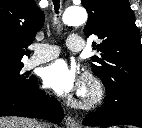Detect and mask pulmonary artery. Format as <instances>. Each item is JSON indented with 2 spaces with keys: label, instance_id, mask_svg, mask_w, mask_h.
I'll return each mask as SVG.
<instances>
[{
  "label": "pulmonary artery",
  "instance_id": "obj_1",
  "mask_svg": "<svg viewBox=\"0 0 142 128\" xmlns=\"http://www.w3.org/2000/svg\"><path fill=\"white\" fill-rule=\"evenodd\" d=\"M67 48L73 52H79L84 49V41L77 34H71L67 38ZM60 49L55 45L41 44L36 45L34 48V53L27 61L26 66L28 68H33L37 65L45 63L49 60L54 59L59 55Z\"/></svg>",
  "mask_w": 142,
  "mask_h": 128
}]
</instances>
